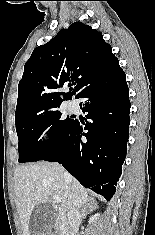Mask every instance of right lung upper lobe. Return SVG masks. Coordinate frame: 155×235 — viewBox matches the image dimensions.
I'll use <instances>...</instances> for the list:
<instances>
[{"label": "right lung upper lobe", "mask_w": 155, "mask_h": 235, "mask_svg": "<svg viewBox=\"0 0 155 235\" xmlns=\"http://www.w3.org/2000/svg\"><path fill=\"white\" fill-rule=\"evenodd\" d=\"M121 70L100 32L75 22L44 45L34 49L24 66L18 85L15 115L29 111L58 108L72 95L78 98L89 86ZM63 86H74L72 92H59Z\"/></svg>", "instance_id": "cb5924a9"}]
</instances>
